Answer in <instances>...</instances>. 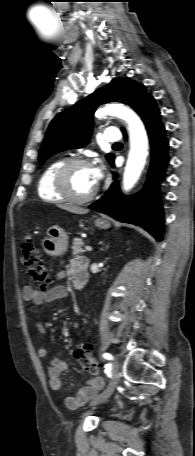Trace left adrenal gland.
Listing matches in <instances>:
<instances>
[{"instance_id":"obj_1","label":"left adrenal gland","mask_w":195,"mask_h":456,"mask_svg":"<svg viewBox=\"0 0 195 456\" xmlns=\"http://www.w3.org/2000/svg\"><path fill=\"white\" fill-rule=\"evenodd\" d=\"M109 248V245L106 246V250Z\"/></svg>"}]
</instances>
